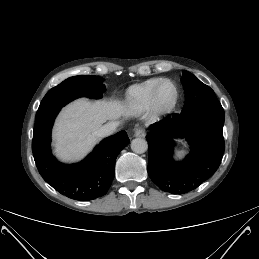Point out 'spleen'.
<instances>
[{
    "instance_id": "obj_1",
    "label": "spleen",
    "mask_w": 259,
    "mask_h": 259,
    "mask_svg": "<svg viewBox=\"0 0 259 259\" xmlns=\"http://www.w3.org/2000/svg\"><path fill=\"white\" fill-rule=\"evenodd\" d=\"M184 155H185V151H180L178 152L177 157L182 158Z\"/></svg>"
}]
</instances>
